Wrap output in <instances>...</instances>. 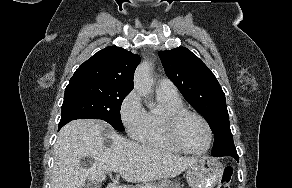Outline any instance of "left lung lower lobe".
Returning <instances> with one entry per match:
<instances>
[{"label":"left lung lower lobe","instance_id":"obj_1","mask_svg":"<svg viewBox=\"0 0 292 188\" xmlns=\"http://www.w3.org/2000/svg\"><path fill=\"white\" fill-rule=\"evenodd\" d=\"M222 156H231V157L235 158L237 161H239L237 151L227 152V153H224Z\"/></svg>","mask_w":292,"mask_h":188}]
</instances>
